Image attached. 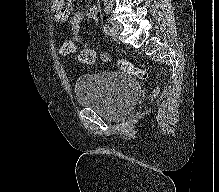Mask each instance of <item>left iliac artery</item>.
Listing matches in <instances>:
<instances>
[{"label": "left iliac artery", "instance_id": "1", "mask_svg": "<svg viewBox=\"0 0 219 192\" xmlns=\"http://www.w3.org/2000/svg\"><path fill=\"white\" fill-rule=\"evenodd\" d=\"M103 28H104V31H105L107 34H111V28H110L109 25L104 24V25H103Z\"/></svg>", "mask_w": 219, "mask_h": 192}]
</instances>
